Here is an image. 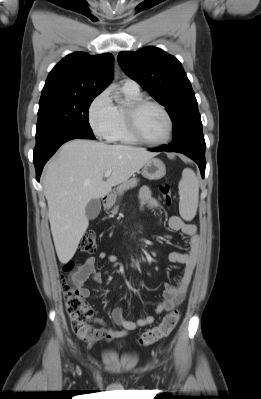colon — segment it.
Masks as SVG:
<instances>
[{
  "mask_svg": "<svg viewBox=\"0 0 261 399\" xmlns=\"http://www.w3.org/2000/svg\"><path fill=\"white\" fill-rule=\"evenodd\" d=\"M160 193L166 205H171L172 194L170 185L164 183L160 186ZM96 249V235L93 232L85 233L80 242L79 250L84 253H92ZM65 271L72 269V264L68 263L64 267ZM66 312L71 321L73 331L81 338L88 337L89 322L93 316L92 308L86 304L77 288L68 283L63 285ZM180 313L177 309L168 313L162 321L151 329L146 330L139 338L141 346H149L167 337L175 328L179 321Z\"/></svg>",
  "mask_w": 261,
  "mask_h": 399,
  "instance_id": "obj_1",
  "label": "colon"
}]
</instances>
